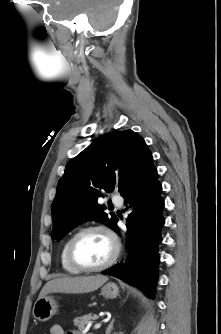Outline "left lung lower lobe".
<instances>
[{
    "label": "left lung lower lobe",
    "instance_id": "0a47b994",
    "mask_svg": "<svg viewBox=\"0 0 221 334\" xmlns=\"http://www.w3.org/2000/svg\"><path fill=\"white\" fill-rule=\"evenodd\" d=\"M157 169L153 159L122 194L130 211L126 219L129 258L122 266H114L102 272L137 286L148 297L153 298L157 282L159 263L158 245L162 238L160 230L164 225L161 198L162 186L157 180ZM118 221V219H117ZM117 221L113 230L118 232Z\"/></svg>",
    "mask_w": 221,
    "mask_h": 334
}]
</instances>
